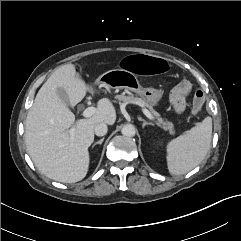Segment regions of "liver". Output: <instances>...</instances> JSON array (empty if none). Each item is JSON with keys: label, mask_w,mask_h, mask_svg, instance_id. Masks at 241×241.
<instances>
[{"label": "liver", "mask_w": 241, "mask_h": 241, "mask_svg": "<svg viewBox=\"0 0 241 241\" xmlns=\"http://www.w3.org/2000/svg\"><path fill=\"white\" fill-rule=\"evenodd\" d=\"M61 88L68 103L75 106L86 93L96 94L95 89L76 75L75 66L58 67L38 91L25 121V144L37 169L46 177L63 183L82 180L89 169L88 148L94 141L98 123L113 125L116 110L109 99L97 103L96 112L87 119L75 121L74 114L61 100ZM75 133L70 135L69 128Z\"/></svg>", "instance_id": "6515ba94"}]
</instances>
